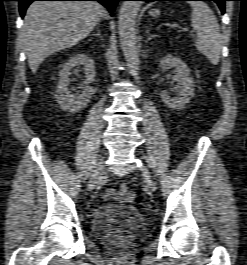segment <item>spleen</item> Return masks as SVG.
Here are the masks:
<instances>
[{
	"label": "spleen",
	"mask_w": 247,
	"mask_h": 265,
	"mask_svg": "<svg viewBox=\"0 0 247 265\" xmlns=\"http://www.w3.org/2000/svg\"><path fill=\"white\" fill-rule=\"evenodd\" d=\"M192 7L191 22L196 31L195 46L211 64L217 65L222 49L219 24L210 7L202 1L188 2Z\"/></svg>",
	"instance_id": "obj_1"
}]
</instances>
